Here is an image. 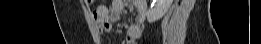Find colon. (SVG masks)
Wrapping results in <instances>:
<instances>
[{
  "label": "colon",
  "instance_id": "obj_1",
  "mask_svg": "<svg viewBox=\"0 0 261 44\" xmlns=\"http://www.w3.org/2000/svg\"><path fill=\"white\" fill-rule=\"evenodd\" d=\"M91 5H94V2H91Z\"/></svg>",
  "mask_w": 261,
  "mask_h": 44
}]
</instances>
